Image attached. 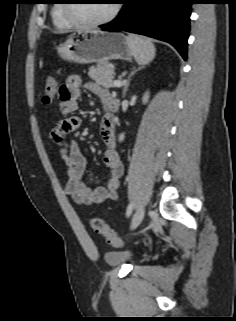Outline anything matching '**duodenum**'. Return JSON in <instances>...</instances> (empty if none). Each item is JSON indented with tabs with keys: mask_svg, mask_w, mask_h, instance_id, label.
Segmentation results:
<instances>
[{
	"mask_svg": "<svg viewBox=\"0 0 236 321\" xmlns=\"http://www.w3.org/2000/svg\"><path fill=\"white\" fill-rule=\"evenodd\" d=\"M119 108V101L115 98H110L108 101V109L110 112L114 113Z\"/></svg>",
	"mask_w": 236,
	"mask_h": 321,
	"instance_id": "duodenum-1",
	"label": "duodenum"
}]
</instances>
